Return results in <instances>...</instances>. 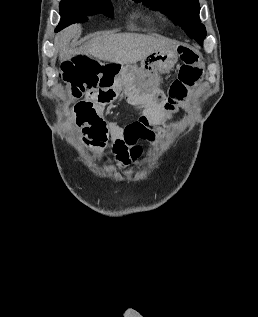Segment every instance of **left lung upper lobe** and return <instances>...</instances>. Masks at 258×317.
Instances as JSON below:
<instances>
[{"mask_svg": "<svg viewBox=\"0 0 258 317\" xmlns=\"http://www.w3.org/2000/svg\"><path fill=\"white\" fill-rule=\"evenodd\" d=\"M169 15L175 24H179L186 34L195 40H204L205 26L200 22L198 0H134Z\"/></svg>", "mask_w": 258, "mask_h": 317, "instance_id": "5c2ea615", "label": "left lung upper lobe"}]
</instances>
